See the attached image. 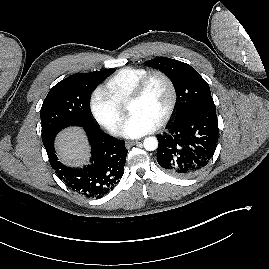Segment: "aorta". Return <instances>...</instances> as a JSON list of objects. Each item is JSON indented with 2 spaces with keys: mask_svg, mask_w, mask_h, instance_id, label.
<instances>
[{
  "mask_svg": "<svg viewBox=\"0 0 269 269\" xmlns=\"http://www.w3.org/2000/svg\"><path fill=\"white\" fill-rule=\"evenodd\" d=\"M144 148L148 151H154L157 149L158 147V140L151 136V137H147L145 138L144 142H143Z\"/></svg>",
  "mask_w": 269,
  "mask_h": 269,
  "instance_id": "aorta-1",
  "label": "aorta"
}]
</instances>
